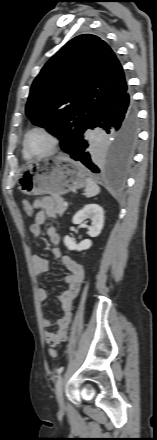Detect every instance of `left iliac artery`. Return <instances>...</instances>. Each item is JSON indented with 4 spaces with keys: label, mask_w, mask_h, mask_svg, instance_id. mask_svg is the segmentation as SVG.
Wrapping results in <instances>:
<instances>
[{
    "label": "left iliac artery",
    "mask_w": 157,
    "mask_h": 440,
    "mask_svg": "<svg viewBox=\"0 0 157 440\" xmlns=\"http://www.w3.org/2000/svg\"><path fill=\"white\" fill-rule=\"evenodd\" d=\"M64 370V367H60L57 369V373L60 374Z\"/></svg>",
    "instance_id": "left-iliac-artery-1"
}]
</instances>
